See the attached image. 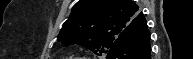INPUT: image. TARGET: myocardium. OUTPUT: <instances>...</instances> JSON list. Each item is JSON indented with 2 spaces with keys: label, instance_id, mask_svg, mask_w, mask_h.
Here are the masks:
<instances>
[{
  "label": "myocardium",
  "instance_id": "obj_1",
  "mask_svg": "<svg viewBox=\"0 0 193 59\" xmlns=\"http://www.w3.org/2000/svg\"><path fill=\"white\" fill-rule=\"evenodd\" d=\"M73 59H90V58H87V57H78V58H73Z\"/></svg>",
  "mask_w": 193,
  "mask_h": 59
}]
</instances>
